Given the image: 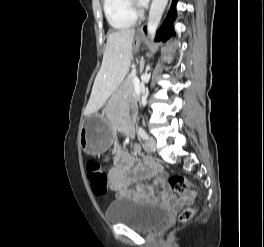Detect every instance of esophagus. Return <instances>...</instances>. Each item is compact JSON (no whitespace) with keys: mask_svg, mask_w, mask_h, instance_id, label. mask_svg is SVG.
I'll use <instances>...</instances> for the list:
<instances>
[{"mask_svg":"<svg viewBox=\"0 0 264 247\" xmlns=\"http://www.w3.org/2000/svg\"><path fill=\"white\" fill-rule=\"evenodd\" d=\"M139 33H141L142 32V29H139V31H138Z\"/></svg>","mask_w":264,"mask_h":247,"instance_id":"esophagus-1","label":"esophagus"}]
</instances>
